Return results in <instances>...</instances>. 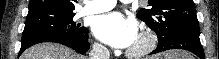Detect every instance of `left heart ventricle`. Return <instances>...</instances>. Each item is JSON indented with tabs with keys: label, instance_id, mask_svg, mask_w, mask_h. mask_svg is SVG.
Here are the masks:
<instances>
[{
	"label": "left heart ventricle",
	"instance_id": "left-heart-ventricle-1",
	"mask_svg": "<svg viewBox=\"0 0 219 59\" xmlns=\"http://www.w3.org/2000/svg\"><path fill=\"white\" fill-rule=\"evenodd\" d=\"M138 44H139V40L137 38L136 41L133 43V45L131 47L137 46Z\"/></svg>",
	"mask_w": 219,
	"mask_h": 59
}]
</instances>
